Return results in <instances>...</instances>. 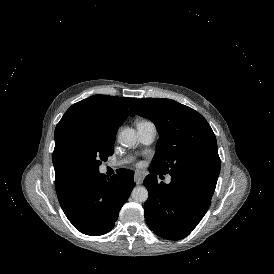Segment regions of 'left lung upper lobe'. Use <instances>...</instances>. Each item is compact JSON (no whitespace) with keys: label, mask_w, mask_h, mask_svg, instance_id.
Segmentation results:
<instances>
[{"label":"left lung upper lobe","mask_w":274,"mask_h":274,"mask_svg":"<svg viewBox=\"0 0 274 274\" xmlns=\"http://www.w3.org/2000/svg\"><path fill=\"white\" fill-rule=\"evenodd\" d=\"M150 119L159 131L151 168L161 174L199 173L219 176L220 158L214 132L192 108L171 99L136 100L129 114Z\"/></svg>","instance_id":"left-lung-upper-lobe-1"}]
</instances>
